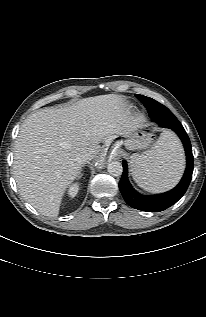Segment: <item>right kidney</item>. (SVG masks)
Here are the masks:
<instances>
[{
    "label": "right kidney",
    "mask_w": 206,
    "mask_h": 317,
    "mask_svg": "<svg viewBox=\"0 0 206 317\" xmlns=\"http://www.w3.org/2000/svg\"><path fill=\"white\" fill-rule=\"evenodd\" d=\"M79 190V185L77 183L72 184L68 189V194L71 198H74Z\"/></svg>",
    "instance_id": "1"
}]
</instances>
